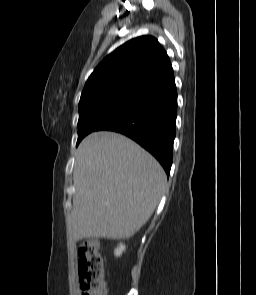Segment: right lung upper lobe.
Instances as JSON below:
<instances>
[{
	"label": "right lung upper lobe",
	"mask_w": 256,
	"mask_h": 295,
	"mask_svg": "<svg viewBox=\"0 0 256 295\" xmlns=\"http://www.w3.org/2000/svg\"><path fill=\"white\" fill-rule=\"evenodd\" d=\"M171 68L170 59L152 36L134 38L102 60L88 78L79 106L126 93H138Z\"/></svg>",
	"instance_id": "1"
}]
</instances>
